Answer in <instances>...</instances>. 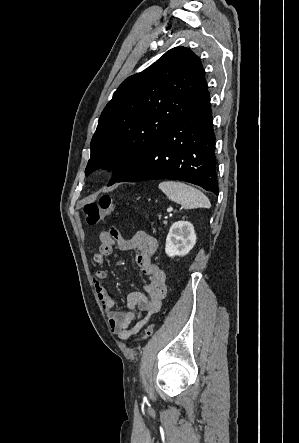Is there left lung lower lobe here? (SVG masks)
Masks as SVG:
<instances>
[{
	"mask_svg": "<svg viewBox=\"0 0 299 443\" xmlns=\"http://www.w3.org/2000/svg\"><path fill=\"white\" fill-rule=\"evenodd\" d=\"M214 144L210 96L206 90L116 182L174 179L199 185L218 195Z\"/></svg>",
	"mask_w": 299,
	"mask_h": 443,
	"instance_id": "obj_1",
	"label": "left lung lower lobe"
}]
</instances>
